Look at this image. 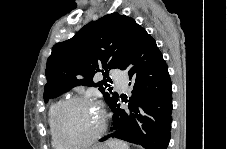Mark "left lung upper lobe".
Here are the masks:
<instances>
[{
	"label": "left lung upper lobe",
	"instance_id": "5c2ea615",
	"mask_svg": "<svg viewBox=\"0 0 227 149\" xmlns=\"http://www.w3.org/2000/svg\"><path fill=\"white\" fill-rule=\"evenodd\" d=\"M138 27L134 19L112 13L88 23L71 39L55 44L46 65L44 101L84 85L98 87L111 107L119 95L108 88L109 69H124ZM99 72L104 79L95 83L93 78Z\"/></svg>",
	"mask_w": 227,
	"mask_h": 149
}]
</instances>
